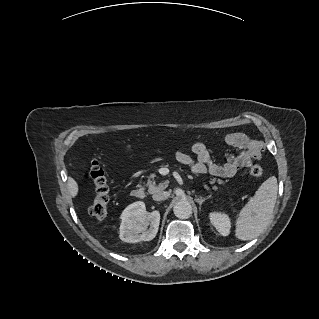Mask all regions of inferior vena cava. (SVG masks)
Instances as JSON below:
<instances>
[{"label":"inferior vena cava","instance_id":"1","mask_svg":"<svg viewBox=\"0 0 319 319\" xmlns=\"http://www.w3.org/2000/svg\"><path fill=\"white\" fill-rule=\"evenodd\" d=\"M169 195H170L169 192L158 191L153 194L152 198L155 201H162V200H166L169 197Z\"/></svg>","mask_w":319,"mask_h":319}]
</instances>
